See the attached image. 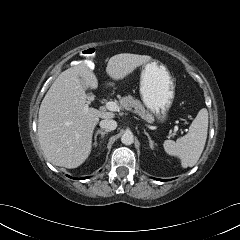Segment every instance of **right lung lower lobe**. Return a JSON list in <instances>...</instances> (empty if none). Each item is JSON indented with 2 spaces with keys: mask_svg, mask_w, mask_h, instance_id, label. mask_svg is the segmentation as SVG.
Listing matches in <instances>:
<instances>
[{
  "mask_svg": "<svg viewBox=\"0 0 240 240\" xmlns=\"http://www.w3.org/2000/svg\"><path fill=\"white\" fill-rule=\"evenodd\" d=\"M87 177H85V178H81V179H86ZM74 179H76V178H74Z\"/></svg>",
  "mask_w": 240,
  "mask_h": 240,
  "instance_id": "right-lung-lower-lobe-1",
  "label": "right lung lower lobe"
}]
</instances>
